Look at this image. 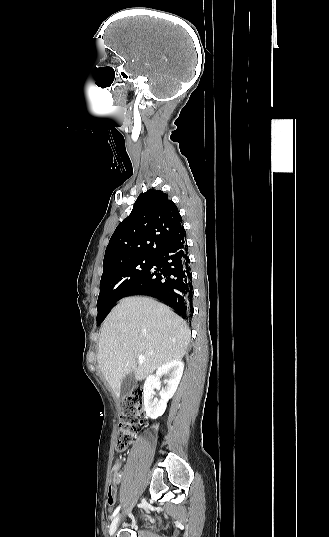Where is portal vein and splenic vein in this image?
<instances>
[{
    "label": "portal vein and splenic vein",
    "mask_w": 329,
    "mask_h": 537,
    "mask_svg": "<svg viewBox=\"0 0 329 537\" xmlns=\"http://www.w3.org/2000/svg\"><path fill=\"white\" fill-rule=\"evenodd\" d=\"M145 360V357L144 356H138V361L139 362H143Z\"/></svg>",
    "instance_id": "18ae733b"
}]
</instances>
